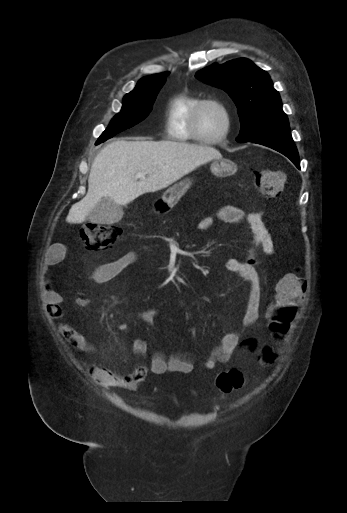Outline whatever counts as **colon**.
Masks as SVG:
<instances>
[{"label": "colon", "instance_id": "colon-1", "mask_svg": "<svg viewBox=\"0 0 347 513\" xmlns=\"http://www.w3.org/2000/svg\"><path fill=\"white\" fill-rule=\"evenodd\" d=\"M252 181L259 193L268 199L280 197L285 178L280 170H254ZM118 226L98 223H86L80 229V236L90 249H105L114 245L121 237ZM306 292V280L294 271L280 278L276 285L275 298L268 310V327L276 338H282L288 332L296 315L298 306ZM257 357L261 367L270 371L278 357V348L274 341L265 340L257 348ZM215 385L222 394L240 389L246 385V378L238 370H229L217 375Z\"/></svg>", "mask_w": 347, "mask_h": 513}]
</instances>
